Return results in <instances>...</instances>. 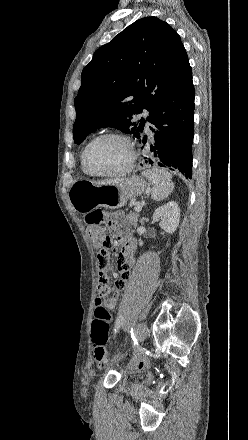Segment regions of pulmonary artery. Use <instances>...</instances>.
Instances as JSON below:
<instances>
[{
    "label": "pulmonary artery",
    "instance_id": "obj_1",
    "mask_svg": "<svg viewBox=\"0 0 248 440\" xmlns=\"http://www.w3.org/2000/svg\"><path fill=\"white\" fill-rule=\"evenodd\" d=\"M147 115V113H144V116H146Z\"/></svg>",
    "mask_w": 248,
    "mask_h": 440
}]
</instances>
